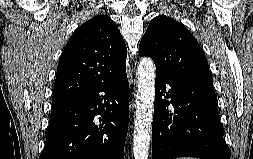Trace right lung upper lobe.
<instances>
[{
  "instance_id": "cb5924a9",
  "label": "right lung upper lobe",
  "mask_w": 253,
  "mask_h": 159,
  "mask_svg": "<svg viewBox=\"0 0 253 159\" xmlns=\"http://www.w3.org/2000/svg\"><path fill=\"white\" fill-rule=\"evenodd\" d=\"M127 49L112 19L98 15L73 33L60 57L52 104L69 103L125 69Z\"/></svg>"
}]
</instances>
